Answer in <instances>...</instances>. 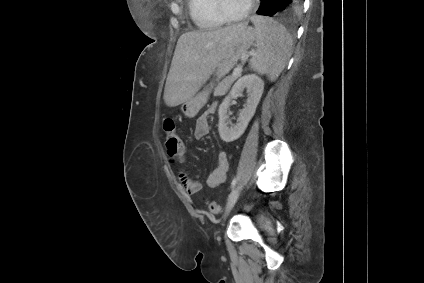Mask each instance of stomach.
Masks as SVG:
<instances>
[{"instance_id":"obj_1","label":"stomach","mask_w":424,"mask_h":283,"mask_svg":"<svg viewBox=\"0 0 424 283\" xmlns=\"http://www.w3.org/2000/svg\"><path fill=\"white\" fill-rule=\"evenodd\" d=\"M256 39V30L252 27H246L237 35L225 52L223 58L218 62L214 72L218 78L228 74L237 64L242 55L246 54ZM213 83L204 91L182 103L181 110L187 117H194L200 109L207 103Z\"/></svg>"}]
</instances>
